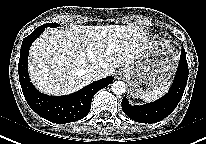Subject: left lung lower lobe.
Wrapping results in <instances>:
<instances>
[{
	"label": "left lung lower lobe",
	"instance_id": "0a47b994",
	"mask_svg": "<svg viewBox=\"0 0 206 144\" xmlns=\"http://www.w3.org/2000/svg\"><path fill=\"white\" fill-rule=\"evenodd\" d=\"M188 79V64L185 50L182 49L179 67L168 93L159 100L141 106H131L126 97L122 100L124 113L140 123H156L166 118L179 103Z\"/></svg>",
	"mask_w": 206,
	"mask_h": 144
}]
</instances>
